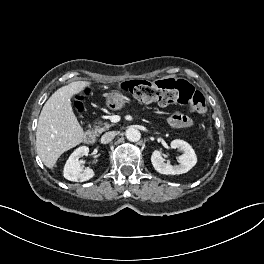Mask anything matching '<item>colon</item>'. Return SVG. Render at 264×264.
I'll use <instances>...</instances> for the list:
<instances>
[{"instance_id": "colon-1", "label": "colon", "mask_w": 264, "mask_h": 264, "mask_svg": "<svg viewBox=\"0 0 264 264\" xmlns=\"http://www.w3.org/2000/svg\"><path fill=\"white\" fill-rule=\"evenodd\" d=\"M121 88L143 103L188 105L193 113H203L206 110L202 93L183 79L128 80L121 83Z\"/></svg>"}]
</instances>
